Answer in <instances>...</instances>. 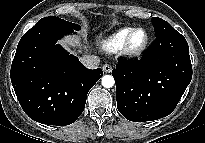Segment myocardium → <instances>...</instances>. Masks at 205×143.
I'll return each instance as SVG.
<instances>
[{"label": "myocardium", "instance_id": "1", "mask_svg": "<svg viewBox=\"0 0 205 143\" xmlns=\"http://www.w3.org/2000/svg\"><path fill=\"white\" fill-rule=\"evenodd\" d=\"M139 31H143L145 33V39L140 46L134 47L132 45V40H133L134 35ZM149 41H150V36H149L148 31L145 28H142V27L134 28L129 33V35L125 41V44L123 47V53L126 56L131 57V58L139 57L148 47Z\"/></svg>", "mask_w": 205, "mask_h": 143}]
</instances>
